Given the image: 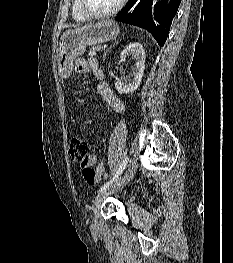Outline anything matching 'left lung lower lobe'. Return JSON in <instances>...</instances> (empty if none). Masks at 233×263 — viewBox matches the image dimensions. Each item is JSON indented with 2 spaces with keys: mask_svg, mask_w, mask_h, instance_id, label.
<instances>
[{
  "mask_svg": "<svg viewBox=\"0 0 233 263\" xmlns=\"http://www.w3.org/2000/svg\"><path fill=\"white\" fill-rule=\"evenodd\" d=\"M180 1L129 0L115 19L148 30L162 47L167 39L169 27L177 13Z\"/></svg>",
  "mask_w": 233,
  "mask_h": 263,
  "instance_id": "0a47b994",
  "label": "left lung lower lobe"
}]
</instances>
